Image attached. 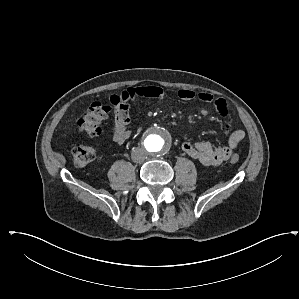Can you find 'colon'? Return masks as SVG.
<instances>
[{"label":"colon","mask_w":299,"mask_h":299,"mask_svg":"<svg viewBox=\"0 0 299 299\" xmlns=\"http://www.w3.org/2000/svg\"><path fill=\"white\" fill-rule=\"evenodd\" d=\"M110 107L101 102H94L88 111L78 120V128L81 132L89 136H99L101 134V122L110 112ZM73 161L76 166L83 167L94 161L96 157L95 149L89 145H79L72 151ZM239 156L233 154L230 157L231 163H237Z\"/></svg>","instance_id":"5ec220e1"}]
</instances>
